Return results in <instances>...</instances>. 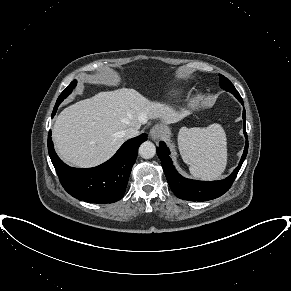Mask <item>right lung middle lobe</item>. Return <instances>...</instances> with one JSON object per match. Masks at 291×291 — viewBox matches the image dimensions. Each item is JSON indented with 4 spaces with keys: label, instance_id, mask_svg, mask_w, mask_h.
Segmentation results:
<instances>
[{
    "label": "right lung middle lobe",
    "instance_id": "dd1d6c3e",
    "mask_svg": "<svg viewBox=\"0 0 291 291\" xmlns=\"http://www.w3.org/2000/svg\"><path fill=\"white\" fill-rule=\"evenodd\" d=\"M77 81L74 80L73 82L70 83V85L61 93V95L58 97L57 102L55 104V107L53 109V115L55 114L58 106L60 103L71 94L72 90L76 87Z\"/></svg>",
    "mask_w": 291,
    "mask_h": 291
}]
</instances>
